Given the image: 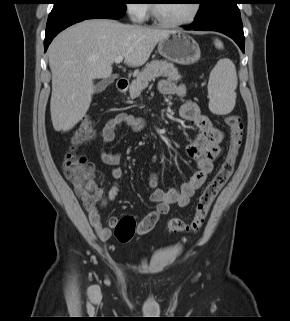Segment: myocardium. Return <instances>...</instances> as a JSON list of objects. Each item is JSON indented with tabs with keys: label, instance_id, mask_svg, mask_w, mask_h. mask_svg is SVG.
<instances>
[{
	"label": "myocardium",
	"instance_id": "myocardium-1",
	"mask_svg": "<svg viewBox=\"0 0 290 321\" xmlns=\"http://www.w3.org/2000/svg\"><path fill=\"white\" fill-rule=\"evenodd\" d=\"M158 4H159V0H154L150 5L152 17L158 25L164 26V27H179V26L188 25L193 21H195L201 9V4L199 3L198 0H195L193 11L188 18L184 20L172 21L162 17L159 11Z\"/></svg>",
	"mask_w": 290,
	"mask_h": 321
}]
</instances>
